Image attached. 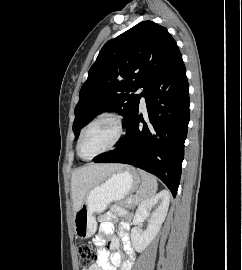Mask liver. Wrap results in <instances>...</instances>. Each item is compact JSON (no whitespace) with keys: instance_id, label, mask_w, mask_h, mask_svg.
<instances>
[{"instance_id":"1","label":"liver","mask_w":242,"mask_h":270,"mask_svg":"<svg viewBox=\"0 0 242 270\" xmlns=\"http://www.w3.org/2000/svg\"><path fill=\"white\" fill-rule=\"evenodd\" d=\"M121 164H90L75 170L71 177L74 214L80 209L90 189L102 183L111 174L124 168Z\"/></svg>"}]
</instances>
